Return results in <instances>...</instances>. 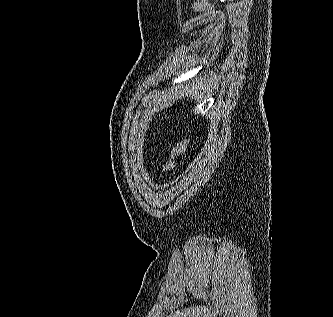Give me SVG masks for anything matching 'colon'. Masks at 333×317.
Instances as JSON below:
<instances>
[{
  "instance_id": "colon-1",
  "label": "colon",
  "mask_w": 333,
  "mask_h": 317,
  "mask_svg": "<svg viewBox=\"0 0 333 317\" xmlns=\"http://www.w3.org/2000/svg\"><path fill=\"white\" fill-rule=\"evenodd\" d=\"M187 145V139L186 138H181L178 140V142L174 145L172 148L167 161L164 163V165L160 168V173L161 174H166L172 170L174 167L177 159L181 154L184 152L185 148Z\"/></svg>"
}]
</instances>
